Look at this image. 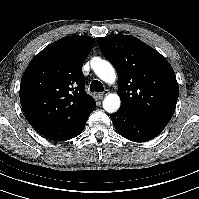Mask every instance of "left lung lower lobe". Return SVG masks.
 <instances>
[{
  "label": "left lung lower lobe",
  "instance_id": "0a47b994",
  "mask_svg": "<svg viewBox=\"0 0 199 199\" xmlns=\"http://www.w3.org/2000/svg\"><path fill=\"white\" fill-rule=\"evenodd\" d=\"M115 129L124 138L145 142L158 136L165 127L150 121L141 119L128 110L120 108L116 113L110 115Z\"/></svg>",
  "mask_w": 199,
  "mask_h": 199
}]
</instances>
